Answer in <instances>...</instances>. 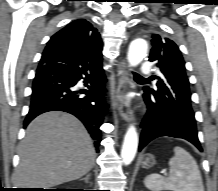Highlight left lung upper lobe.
Segmentation results:
<instances>
[{
    "instance_id": "obj_1",
    "label": "left lung upper lobe",
    "mask_w": 218,
    "mask_h": 191,
    "mask_svg": "<svg viewBox=\"0 0 218 191\" xmlns=\"http://www.w3.org/2000/svg\"><path fill=\"white\" fill-rule=\"evenodd\" d=\"M151 44L149 61L154 62L162 73L156 77L158 82L153 92L165 95L169 102L177 99L191 105L189 81L179 48L172 40L158 34L152 35Z\"/></svg>"
}]
</instances>
